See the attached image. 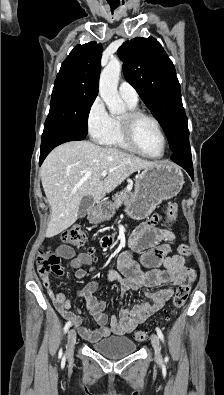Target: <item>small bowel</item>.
I'll return each mask as SVG.
<instances>
[{
    "label": "small bowel",
    "instance_id": "obj_1",
    "mask_svg": "<svg viewBox=\"0 0 224 395\" xmlns=\"http://www.w3.org/2000/svg\"><path fill=\"white\" fill-rule=\"evenodd\" d=\"M157 219L158 217L154 216L140 224L129 239L131 252H140V264L149 270L142 271L140 264L132 258L131 252L126 251L118 257V267L124 277L121 278L114 272H109L106 277L109 281L117 282L123 293L141 288L165 287L156 291H147L145 293L147 301L132 307H120L117 316L108 318L104 313L106 302L96 296L98 282H89L78 292V297L84 301L89 316L99 325L95 330L84 326V318L70 310L71 301L65 295L54 291L49 276L41 275L43 285L55 308L63 318L71 321L78 328L85 340L94 343L110 335L122 336L132 332L139 324L163 308L172 296L175 286L185 280L187 275L185 260L190 254V248L181 244L177 254L169 255V243L174 240V235L157 228L155 226ZM160 241L164 243L153 248ZM56 251L61 258L69 260V266L75 270V278L85 277L84 266H90L93 262L91 254L76 255L74 249L68 245H59ZM160 266L163 268H159ZM91 271H94V267H91Z\"/></svg>",
    "mask_w": 224,
    "mask_h": 395
}]
</instances>
